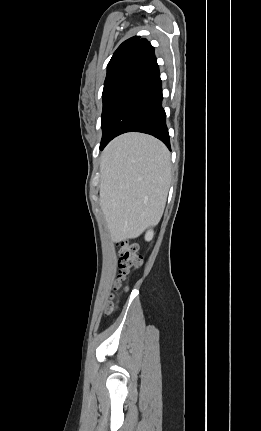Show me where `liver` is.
Instances as JSON below:
<instances>
[{"mask_svg": "<svg viewBox=\"0 0 261 431\" xmlns=\"http://www.w3.org/2000/svg\"><path fill=\"white\" fill-rule=\"evenodd\" d=\"M100 206L111 239L137 238L161 218L171 180L170 153L158 139L125 133L104 149Z\"/></svg>", "mask_w": 261, "mask_h": 431, "instance_id": "liver-1", "label": "liver"}]
</instances>
